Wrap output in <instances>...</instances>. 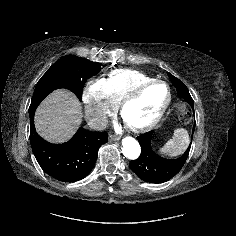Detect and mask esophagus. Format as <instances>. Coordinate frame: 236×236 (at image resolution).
I'll return each instance as SVG.
<instances>
[{
  "label": "esophagus",
  "mask_w": 236,
  "mask_h": 236,
  "mask_svg": "<svg viewBox=\"0 0 236 236\" xmlns=\"http://www.w3.org/2000/svg\"><path fill=\"white\" fill-rule=\"evenodd\" d=\"M120 138L118 137V136H116V135H110L109 136V140L110 141H117V140H119Z\"/></svg>",
  "instance_id": "esophagus-1"
}]
</instances>
